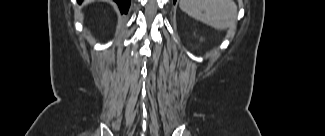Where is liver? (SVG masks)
Returning <instances> with one entry per match:
<instances>
[{
	"mask_svg": "<svg viewBox=\"0 0 325 136\" xmlns=\"http://www.w3.org/2000/svg\"><path fill=\"white\" fill-rule=\"evenodd\" d=\"M90 2L89 0L85 1V3Z\"/></svg>",
	"mask_w": 325,
	"mask_h": 136,
	"instance_id": "1",
	"label": "liver"
}]
</instances>
